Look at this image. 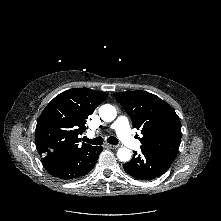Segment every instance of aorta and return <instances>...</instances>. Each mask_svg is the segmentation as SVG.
Listing matches in <instances>:
<instances>
[{"label": "aorta", "mask_w": 221, "mask_h": 221, "mask_svg": "<svg viewBox=\"0 0 221 221\" xmlns=\"http://www.w3.org/2000/svg\"><path fill=\"white\" fill-rule=\"evenodd\" d=\"M99 115L102 120L111 122L116 118L117 111L114 106L104 104L99 109ZM131 151L128 148L122 147L117 151V157L120 161L127 162L131 159Z\"/></svg>", "instance_id": "1"}]
</instances>
